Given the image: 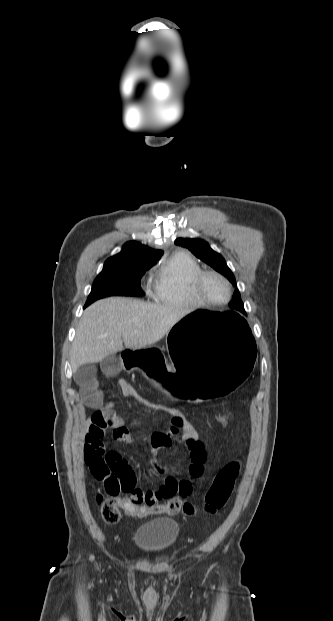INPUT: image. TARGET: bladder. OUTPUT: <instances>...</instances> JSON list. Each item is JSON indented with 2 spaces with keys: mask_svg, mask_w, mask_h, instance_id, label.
Wrapping results in <instances>:
<instances>
[{
  "mask_svg": "<svg viewBox=\"0 0 333 621\" xmlns=\"http://www.w3.org/2000/svg\"><path fill=\"white\" fill-rule=\"evenodd\" d=\"M179 523L171 518H156L140 526L134 542L145 553H163L175 546L179 539Z\"/></svg>",
  "mask_w": 333,
  "mask_h": 621,
  "instance_id": "obj_1",
  "label": "bladder"
}]
</instances>
